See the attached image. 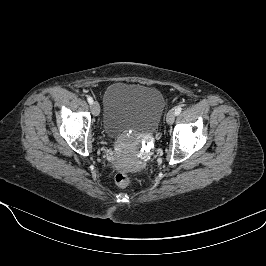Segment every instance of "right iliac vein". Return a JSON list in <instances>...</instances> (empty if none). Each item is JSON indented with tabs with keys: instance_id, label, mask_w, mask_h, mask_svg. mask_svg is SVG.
I'll return each mask as SVG.
<instances>
[{
	"instance_id": "right-iliac-vein-1",
	"label": "right iliac vein",
	"mask_w": 266,
	"mask_h": 266,
	"mask_svg": "<svg viewBox=\"0 0 266 266\" xmlns=\"http://www.w3.org/2000/svg\"><path fill=\"white\" fill-rule=\"evenodd\" d=\"M91 111L93 113L94 116H98L100 113V106L97 102H93L91 104Z\"/></svg>"
}]
</instances>
